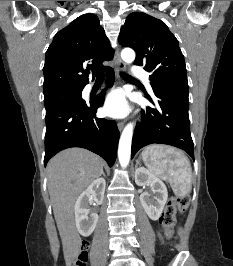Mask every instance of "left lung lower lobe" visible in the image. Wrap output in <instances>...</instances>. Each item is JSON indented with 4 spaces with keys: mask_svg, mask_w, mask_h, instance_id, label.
Segmentation results:
<instances>
[{
    "mask_svg": "<svg viewBox=\"0 0 233 266\" xmlns=\"http://www.w3.org/2000/svg\"><path fill=\"white\" fill-rule=\"evenodd\" d=\"M157 97L156 108L142 110V119L135 128L132 140L133 158L136 152L149 144H168L186 151L194 160V147L188 115V82L169 80L152 86Z\"/></svg>",
    "mask_w": 233,
    "mask_h": 266,
    "instance_id": "left-lung-lower-lobe-1",
    "label": "left lung lower lobe"
}]
</instances>
